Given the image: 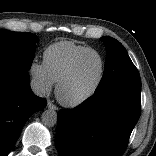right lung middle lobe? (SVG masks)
Returning <instances> with one entry per match:
<instances>
[{
    "instance_id": "obj_1",
    "label": "right lung middle lobe",
    "mask_w": 156,
    "mask_h": 156,
    "mask_svg": "<svg viewBox=\"0 0 156 156\" xmlns=\"http://www.w3.org/2000/svg\"><path fill=\"white\" fill-rule=\"evenodd\" d=\"M38 38L32 33L0 30V67L27 72L35 54Z\"/></svg>"
}]
</instances>
